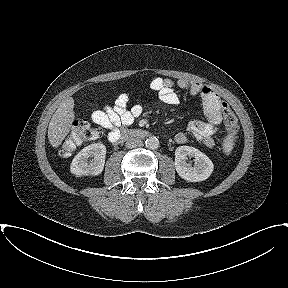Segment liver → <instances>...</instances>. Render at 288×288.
<instances>
[{
  "label": "liver",
  "mask_w": 288,
  "mask_h": 288,
  "mask_svg": "<svg viewBox=\"0 0 288 288\" xmlns=\"http://www.w3.org/2000/svg\"><path fill=\"white\" fill-rule=\"evenodd\" d=\"M73 99H65L53 114L48 126L49 143L57 148L70 132L75 119Z\"/></svg>",
  "instance_id": "6515ba94"
}]
</instances>
